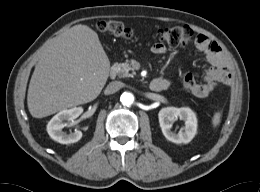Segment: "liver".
Returning a JSON list of instances; mask_svg holds the SVG:
<instances>
[{"mask_svg": "<svg viewBox=\"0 0 260 192\" xmlns=\"http://www.w3.org/2000/svg\"><path fill=\"white\" fill-rule=\"evenodd\" d=\"M110 61L95 31L75 25L44 52L32 74L27 104L43 118L97 98L109 76Z\"/></svg>", "mask_w": 260, "mask_h": 192, "instance_id": "1", "label": "liver"}]
</instances>
